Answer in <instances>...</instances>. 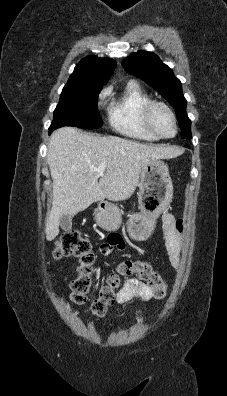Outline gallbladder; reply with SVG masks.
<instances>
[{"label": "gallbladder", "instance_id": "1", "mask_svg": "<svg viewBox=\"0 0 227 396\" xmlns=\"http://www.w3.org/2000/svg\"><path fill=\"white\" fill-rule=\"evenodd\" d=\"M60 227L65 230L69 231L72 228V219L69 215H62L59 219Z\"/></svg>", "mask_w": 227, "mask_h": 396}]
</instances>
